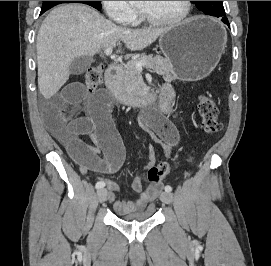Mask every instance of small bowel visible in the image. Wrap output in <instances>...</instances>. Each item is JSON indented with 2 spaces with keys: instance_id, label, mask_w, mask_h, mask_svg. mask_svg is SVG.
<instances>
[{
  "instance_id": "1",
  "label": "small bowel",
  "mask_w": 271,
  "mask_h": 266,
  "mask_svg": "<svg viewBox=\"0 0 271 266\" xmlns=\"http://www.w3.org/2000/svg\"><path fill=\"white\" fill-rule=\"evenodd\" d=\"M84 68L83 62L72 65V74L80 73ZM174 90L169 84L162 87V98L159 110L164 115L172 113ZM87 97V92L79 82L66 84L51 100L43 103L42 111L47 126L62 141L72 158L79 166L83 174L90 171L98 173H112L117 171L123 163L125 151L122 140L113 123L111 109L112 103L109 96L101 91L89 97V108L85 117L67 124L66 113L69 108L81 102ZM151 129L155 136L161 139L165 145L167 155L178 143L179 135L173 124L162 118L156 117L151 122ZM77 134L89 135L94 146H86ZM104 157H100V153ZM151 161L146 166L153 165ZM105 182V181H104ZM107 200L113 205L114 210L125 215L144 209L152 202L162 189V184H150L146 188L139 177L132 179V189L139 194L133 201H119L116 199L118 186L112 180H107Z\"/></svg>"
}]
</instances>
